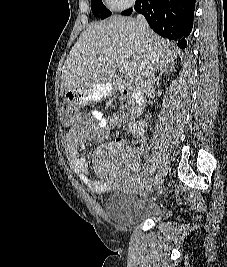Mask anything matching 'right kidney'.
Segmentation results:
<instances>
[{
	"label": "right kidney",
	"mask_w": 227,
	"mask_h": 267,
	"mask_svg": "<svg viewBox=\"0 0 227 267\" xmlns=\"http://www.w3.org/2000/svg\"><path fill=\"white\" fill-rule=\"evenodd\" d=\"M145 127H147V123L145 121H137L132 129H131V132L132 134L134 135V137H142L144 132H145Z\"/></svg>",
	"instance_id": "right-kidney-1"
}]
</instances>
